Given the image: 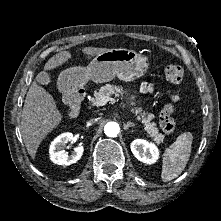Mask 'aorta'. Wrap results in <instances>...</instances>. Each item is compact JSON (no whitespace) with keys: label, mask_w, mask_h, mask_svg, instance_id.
<instances>
[{"label":"aorta","mask_w":221,"mask_h":221,"mask_svg":"<svg viewBox=\"0 0 221 221\" xmlns=\"http://www.w3.org/2000/svg\"><path fill=\"white\" fill-rule=\"evenodd\" d=\"M120 131L119 124L116 122H108L104 127V133L108 137H116Z\"/></svg>","instance_id":"762f6f07"}]
</instances>
